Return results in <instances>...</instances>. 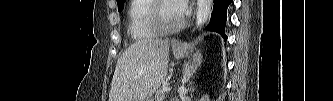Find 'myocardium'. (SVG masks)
<instances>
[{"label": "myocardium", "mask_w": 333, "mask_h": 101, "mask_svg": "<svg viewBox=\"0 0 333 101\" xmlns=\"http://www.w3.org/2000/svg\"><path fill=\"white\" fill-rule=\"evenodd\" d=\"M169 1H162V0H156L153 2L149 14L148 19L151 27L160 35H167L171 33H175L180 31L186 24V18L185 16H182L181 20L175 24L172 27H165L162 23L161 17H160V9L162 5Z\"/></svg>", "instance_id": "obj_1"}]
</instances>
